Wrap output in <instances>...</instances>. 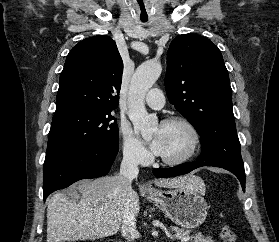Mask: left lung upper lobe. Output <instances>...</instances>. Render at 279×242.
I'll return each mask as SVG.
<instances>
[{
  "label": "left lung upper lobe",
  "instance_id": "5c2ea615",
  "mask_svg": "<svg viewBox=\"0 0 279 242\" xmlns=\"http://www.w3.org/2000/svg\"><path fill=\"white\" fill-rule=\"evenodd\" d=\"M164 82L169 101L201 137L199 160L244 170L232 89L218 47L200 35L177 36L168 49Z\"/></svg>",
  "mask_w": 279,
  "mask_h": 242
}]
</instances>
